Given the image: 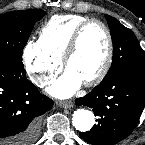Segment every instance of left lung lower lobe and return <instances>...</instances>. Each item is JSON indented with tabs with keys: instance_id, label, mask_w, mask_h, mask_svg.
Instances as JSON below:
<instances>
[{
	"instance_id": "0a47b994",
	"label": "left lung lower lobe",
	"mask_w": 145,
	"mask_h": 145,
	"mask_svg": "<svg viewBox=\"0 0 145 145\" xmlns=\"http://www.w3.org/2000/svg\"><path fill=\"white\" fill-rule=\"evenodd\" d=\"M98 116L90 131L80 132L93 145H114L136 127L145 106V75L124 72L102 81L90 93L75 100Z\"/></svg>"
}]
</instances>
